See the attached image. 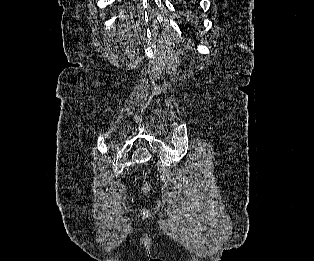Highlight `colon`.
<instances>
[{
  "mask_svg": "<svg viewBox=\"0 0 314 261\" xmlns=\"http://www.w3.org/2000/svg\"><path fill=\"white\" fill-rule=\"evenodd\" d=\"M150 188H151V186H150L149 183H146V184H144V186H143L144 192H149V191H150Z\"/></svg>",
  "mask_w": 314,
  "mask_h": 261,
  "instance_id": "obj_1",
  "label": "colon"
}]
</instances>
